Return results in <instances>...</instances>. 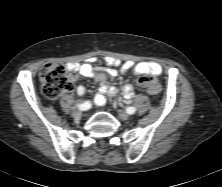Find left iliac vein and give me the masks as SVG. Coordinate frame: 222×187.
I'll return each mask as SVG.
<instances>
[{
    "mask_svg": "<svg viewBox=\"0 0 222 187\" xmlns=\"http://www.w3.org/2000/svg\"><path fill=\"white\" fill-rule=\"evenodd\" d=\"M118 115H119V118L122 120H129L130 119V115L128 113H126L125 111L118 110Z\"/></svg>",
    "mask_w": 222,
    "mask_h": 187,
    "instance_id": "obj_1",
    "label": "left iliac vein"
}]
</instances>
